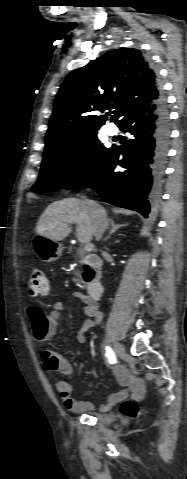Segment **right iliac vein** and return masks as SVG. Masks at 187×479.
Returning a JSON list of instances; mask_svg holds the SVG:
<instances>
[{
    "label": "right iliac vein",
    "mask_w": 187,
    "mask_h": 479,
    "mask_svg": "<svg viewBox=\"0 0 187 479\" xmlns=\"http://www.w3.org/2000/svg\"><path fill=\"white\" fill-rule=\"evenodd\" d=\"M114 351L119 357H123L125 355V348L118 342L114 344Z\"/></svg>",
    "instance_id": "obj_1"
}]
</instances>
